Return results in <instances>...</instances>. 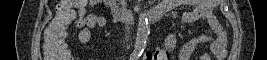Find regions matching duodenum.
Wrapping results in <instances>:
<instances>
[{"mask_svg":"<svg viewBox=\"0 0 267 60\" xmlns=\"http://www.w3.org/2000/svg\"><path fill=\"white\" fill-rule=\"evenodd\" d=\"M104 2L110 5L112 13L116 18L127 17L135 20L139 16H145L151 18L152 20H159L162 15L167 11L165 7L158 6L145 10L140 14H136V12L132 8L118 5L117 2L119 1L117 0H106Z\"/></svg>","mask_w":267,"mask_h":60,"instance_id":"1","label":"duodenum"}]
</instances>
